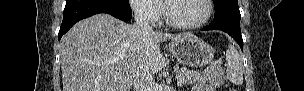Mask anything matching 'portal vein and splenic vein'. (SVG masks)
<instances>
[{
	"label": "portal vein and splenic vein",
	"instance_id": "portal-vein-and-splenic-vein-1",
	"mask_svg": "<svg viewBox=\"0 0 304 91\" xmlns=\"http://www.w3.org/2000/svg\"><path fill=\"white\" fill-rule=\"evenodd\" d=\"M182 83V78H180V80L178 81V85H181Z\"/></svg>",
	"mask_w": 304,
	"mask_h": 91
}]
</instances>
